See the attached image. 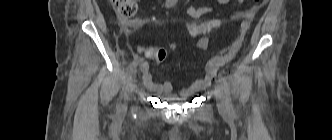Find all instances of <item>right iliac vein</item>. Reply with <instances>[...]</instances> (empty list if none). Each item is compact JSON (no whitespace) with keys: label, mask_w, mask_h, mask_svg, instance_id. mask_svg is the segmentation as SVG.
<instances>
[{"label":"right iliac vein","mask_w":332,"mask_h":140,"mask_svg":"<svg viewBox=\"0 0 332 140\" xmlns=\"http://www.w3.org/2000/svg\"><path fill=\"white\" fill-rule=\"evenodd\" d=\"M135 74H136V69L134 68L131 71V73H130L127 81H126V87H125V91H124L125 101L129 100L130 95H131V93L133 91V78L135 77Z\"/></svg>","instance_id":"right-iliac-vein-1"}]
</instances>
